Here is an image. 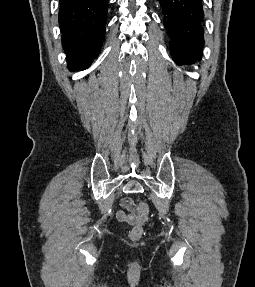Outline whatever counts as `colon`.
I'll return each instance as SVG.
<instances>
[{
	"instance_id": "1",
	"label": "colon",
	"mask_w": 255,
	"mask_h": 287,
	"mask_svg": "<svg viewBox=\"0 0 255 287\" xmlns=\"http://www.w3.org/2000/svg\"><path fill=\"white\" fill-rule=\"evenodd\" d=\"M149 207L146 203H140L138 205V221L133 226L129 233L131 240L135 241L141 238L143 235V225L148 219Z\"/></svg>"
}]
</instances>
